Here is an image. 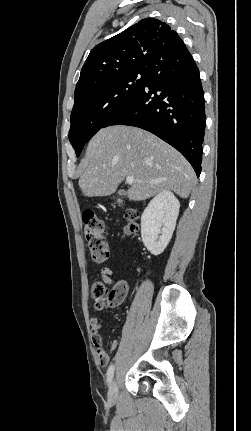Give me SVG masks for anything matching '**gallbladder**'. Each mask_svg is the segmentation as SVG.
<instances>
[{
  "instance_id": "1",
  "label": "gallbladder",
  "mask_w": 251,
  "mask_h": 431,
  "mask_svg": "<svg viewBox=\"0 0 251 431\" xmlns=\"http://www.w3.org/2000/svg\"><path fill=\"white\" fill-rule=\"evenodd\" d=\"M118 194H119L120 196H122V195H125V194H126V192H125L124 190H119V191H118Z\"/></svg>"
}]
</instances>
